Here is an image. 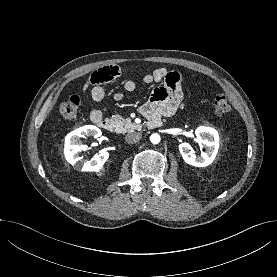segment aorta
<instances>
[{"instance_id": "762f6f07", "label": "aorta", "mask_w": 277, "mask_h": 277, "mask_svg": "<svg viewBox=\"0 0 277 277\" xmlns=\"http://www.w3.org/2000/svg\"><path fill=\"white\" fill-rule=\"evenodd\" d=\"M150 141L153 143V144H158L160 142V136L158 134H152L150 136Z\"/></svg>"}]
</instances>
